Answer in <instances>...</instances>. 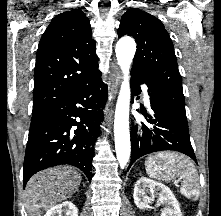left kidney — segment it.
Here are the masks:
<instances>
[{
  "mask_svg": "<svg viewBox=\"0 0 221 216\" xmlns=\"http://www.w3.org/2000/svg\"><path fill=\"white\" fill-rule=\"evenodd\" d=\"M151 194L158 197V203L165 204L161 212V216H182L180 205L172 193V191L160 182H156L147 177H141L134 186V202L140 209H147L151 198L147 195Z\"/></svg>",
  "mask_w": 221,
  "mask_h": 216,
  "instance_id": "left-kidney-1",
  "label": "left kidney"
}]
</instances>
